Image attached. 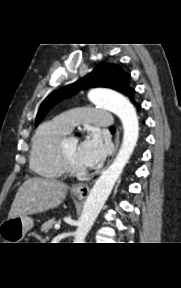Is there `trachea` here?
Returning a JSON list of instances; mask_svg holds the SVG:
<instances>
[{
    "label": "trachea",
    "instance_id": "3493384b",
    "mask_svg": "<svg viewBox=\"0 0 181 288\" xmlns=\"http://www.w3.org/2000/svg\"><path fill=\"white\" fill-rule=\"evenodd\" d=\"M110 130L115 131V128L113 126L110 127Z\"/></svg>",
    "mask_w": 181,
    "mask_h": 288
}]
</instances>
